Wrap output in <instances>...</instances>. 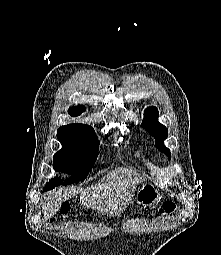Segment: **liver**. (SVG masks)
Wrapping results in <instances>:
<instances>
[{
	"label": "liver",
	"mask_w": 221,
	"mask_h": 255,
	"mask_svg": "<svg viewBox=\"0 0 221 255\" xmlns=\"http://www.w3.org/2000/svg\"><path fill=\"white\" fill-rule=\"evenodd\" d=\"M142 182L135 171L128 168H117L101 180L86 188H60L49 192L44 197V219L48 220L59 210L63 202L73 198L78 193L82 205L89 209L97 210L102 214L117 216L121 214L127 205L133 201V192L136 186Z\"/></svg>",
	"instance_id": "6515ba94"
}]
</instances>
